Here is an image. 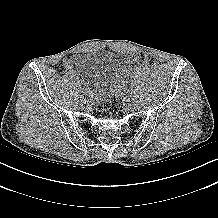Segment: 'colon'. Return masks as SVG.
I'll return each mask as SVG.
<instances>
[{"label": "colon", "mask_w": 218, "mask_h": 218, "mask_svg": "<svg viewBox=\"0 0 218 218\" xmlns=\"http://www.w3.org/2000/svg\"><path fill=\"white\" fill-rule=\"evenodd\" d=\"M130 62L136 65L153 67L157 64V58L147 52H138L130 56ZM96 109L101 113H106L111 107V97L110 95H103L96 100Z\"/></svg>", "instance_id": "1"}]
</instances>
